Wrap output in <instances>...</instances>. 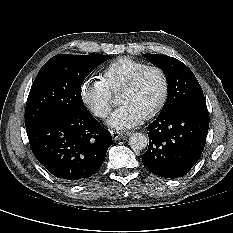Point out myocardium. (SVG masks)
<instances>
[{"label": "myocardium", "instance_id": "1", "mask_svg": "<svg viewBox=\"0 0 233 233\" xmlns=\"http://www.w3.org/2000/svg\"><path fill=\"white\" fill-rule=\"evenodd\" d=\"M149 71H155L160 74L162 81H163V91H162V95L160 99L158 100V102L154 105V107L150 111H148L143 116V119L145 120L151 119L154 116H156L161 111V109L164 107L168 99L169 92H170V81H169V77L166 71L159 66L148 65L138 70L136 73H134L120 90V93L128 92L132 90L137 85V83L140 81L142 76Z\"/></svg>", "mask_w": 233, "mask_h": 233}]
</instances>
